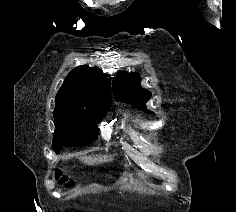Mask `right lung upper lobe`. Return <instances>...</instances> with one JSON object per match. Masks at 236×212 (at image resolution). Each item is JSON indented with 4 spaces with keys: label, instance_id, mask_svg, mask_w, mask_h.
Returning a JSON list of instances; mask_svg holds the SVG:
<instances>
[{
    "label": "right lung upper lobe",
    "instance_id": "right-lung-upper-lobe-1",
    "mask_svg": "<svg viewBox=\"0 0 236 212\" xmlns=\"http://www.w3.org/2000/svg\"><path fill=\"white\" fill-rule=\"evenodd\" d=\"M87 65L73 69L59 89L56 106L91 109L111 100V78Z\"/></svg>",
    "mask_w": 236,
    "mask_h": 212
}]
</instances>
